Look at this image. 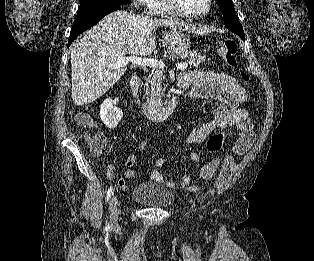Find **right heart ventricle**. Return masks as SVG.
<instances>
[{"label":"right heart ventricle","mask_w":314,"mask_h":261,"mask_svg":"<svg viewBox=\"0 0 314 261\" xmlns=\"http://www.w3.org/2000/svg\"><path fill=\"white\" fill-rule=\"evenodd\" d=\"M155 14L160 15H167L172 14L173 12L167 7L164 0H158V2L155 3L153 8L151 9Z\"/></svg>","instance_id":"right-heart-ventricle-1"}]
</instances>
